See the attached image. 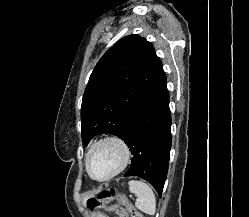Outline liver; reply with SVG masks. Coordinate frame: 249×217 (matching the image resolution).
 I'll return each instance as SVG.
<instances>
[{
	"label": "liver",
	"instance_id": "obj_1",
	"mask_svg": "<svg viewBox=\"0 0 249 217\" xmlns=\"http://www.w3.org/2000/svg\"><path fill=\"white\" fill-rule=\"evenodd\" d=\"M87 198H88V197H85V198H84V202H86Z\"/></svg>",
	"mask_w": 249,
	"mask_h": 217
}]
</instances>
